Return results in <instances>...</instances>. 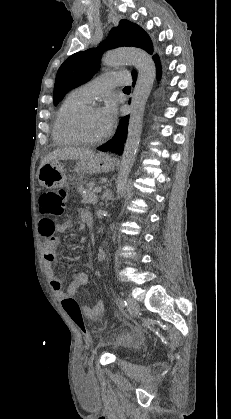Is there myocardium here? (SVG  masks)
Listing matches in <instances>:
<instances>
[{"label":"myocardium","instance_id":"1","mask_svg":"<svg viewBox=\"0 0 231 419\" xmlns=\"http://www.w3.org/2000/svg\"><path fill=\"white\" fill-rule=\"evenodd\" d=\"M93 108H94V105L88 103L78 108L77 110H75L68 117L66 121V129L69 132V134L73 136L76 140H78L79 142L90 144V145L98 144L104 141L109 135V133L106 132L102 136L91 138V137L86 136L84 132L82 131L81 120L84 117V115Z\"/></svg>","mask_w":231,"mask_h":419}]
</instances>
